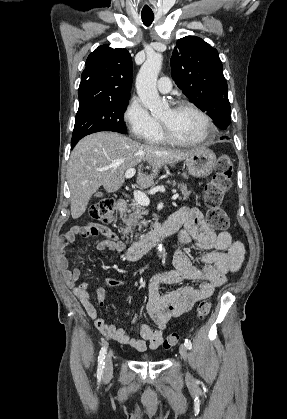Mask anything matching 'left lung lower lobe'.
I'll return each mask as SVG.
<instances>
[{
	"mask_svg": "<svg viewBox=\"0 0 287 419\" xmlns=\"http://www.w3.org/2000/svg\"><path fill=\"white\" fill-rule=\"evenodd\" d=\"M223 138H227L228 139V137H225V136L224 137H221V139H223Z\"/></svg>",
	"mask_w": 287,
	"mask_h": 419,
	"instance_id": "left-lung-lower-lobe-1",
	"label": "left lung lower lobe"
}]
</instances>
